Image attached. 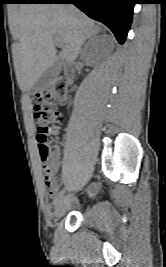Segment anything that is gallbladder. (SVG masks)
<instances>
[{"mask_svg": "<svg viewBox=\"0 0 166 267\" xmlns=\"http://www.w3.org/2000/svg\"><path fill=\"white\" fill-rule=\"evenodd\" d=\"M63 66L62 59L57 57L54 63L46 69L31 88L30 93L36 94L53 85Z\"/></svg>", "mask_w": 166, "mask_h": 267, "instance_id": "1", "label": "gallbladder"}]
</instances>
